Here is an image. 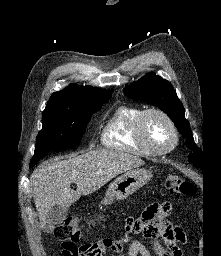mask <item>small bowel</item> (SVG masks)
<instances>
[{"label": "small bowel", "mask_w": 221, "mask_h": 256, "mask_svg": "<svg viewBox=\"0 0 221 256\" xmlns=\"http://www.w3.org/2000/svg\"><path fill=\"white\" fill-rule=\"evenodd\" d=\"M172 211L168 202L148 206L140 217H128L125 221L126 235L141 234L150 246L140 241H131L127 255L123 253L126 239L105 238L78 246L76 254L63 256H183L180 243L184 241L182 230L167 220ZM162 240L164 245L159 243Z\"/></svg>", "instance_id": "obj_1"}]
</instances>
